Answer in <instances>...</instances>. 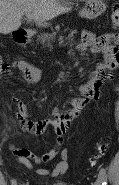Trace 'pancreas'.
Returning <instances> with one entry per match:
<instances>
[{
	"label": "pancreas",
	"instance_id": "cf45deb5",
	"mask_svg": "<svg viewBox=\"0 0 119 185\" xmlns=\"http://www.w3.org/2000/svg\"><path fill=\"white\" fill-rule=\"evenodd\" d=\"M76 33V31H72L70 33V37H72L74 34ZM57 33L56 32H52V33H46V34H42L41 37L39 38L41 40L42 43H51L52 41L55 40ZM67 43H65V40L63 37L59 38V45L60 46H64Z\"/></svg>",
	"mask_w": 119,
	"mask_h": 185
}]
</instances>
